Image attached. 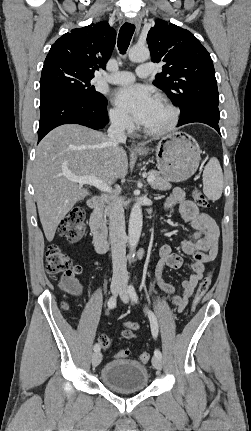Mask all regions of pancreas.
Returning <instances> with one entry per match:
<instances>
[{
	"label": "pancreas",
	"instance_id": "1",
	"mask_svg": "<svg viewBox=\"0 0 251 431\" xmlns=\"http://www.w3.org/2000/svg\"><path fill=\"white\" fill-rule=\"evenodd\" d=\"M149 176H154V181L150 183L153 189L169 190L172 186L167 179H165L159 172L150 170ZM106 214V213H105Z\"/></svg>",
	"mask_w": 251,
	"mask_h": 431
}]
</instances>
